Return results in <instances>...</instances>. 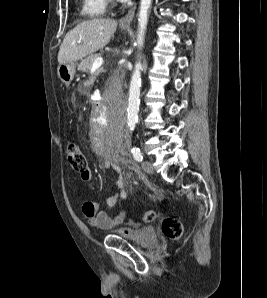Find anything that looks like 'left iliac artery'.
<instances>
[{
    "instance_id": "left-iliac-artery-1",
    "label": "left iliac artery",
    "mask_w": 267,
    "mask_h": 298,
    "mask_svg": "<svg viewBox=\"0 0 267 298\" xmlns=\"http://www.w3.org/2000/svg\"><path fill=\"white\" fill-rule=\"evenodd\" d=\"M132 154L136 161L141 162L143 160V155L140 149L137 146L132 148Z\"/></svg>"
}]
</instances>
